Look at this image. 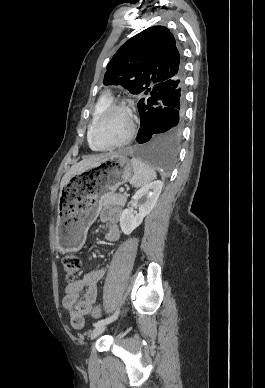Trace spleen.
I'll list each match as a JSON object with an SVG mask.
<instances>
[{"instance_id":"obj_1","label":"spleen","mask_w":265,"mask_h":388,"mask_svg":"<svg viewBox=\"0 0 265 388\" xmlns=\"http://www.w3.org/2000/svg\"><path fill=\"white\" fill-rule=\"evenodd\" d=\"M131 162L134 172L133 184L135 188H141V186H146L152 180H156V172L150 168L147 162L137 160V158H132Z\"/></svg>"}]
</instances>
